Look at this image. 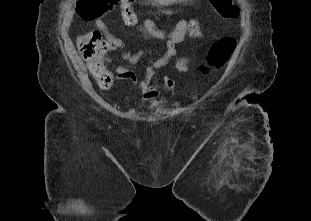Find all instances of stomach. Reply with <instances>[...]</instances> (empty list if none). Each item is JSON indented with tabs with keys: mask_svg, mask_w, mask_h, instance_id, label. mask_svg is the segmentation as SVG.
<instances>
[{
	"mask_svg": "<svg viewBox=\"0 0 311 221\" xmlns=\"http://www.w3.org/2000/svg\"><path fill=\"white\" fill-rule=\"evenodd\" d=\"M157 2H164L165 4V2H168V0H157ZM173 2H177V0H173Z\"/></svg>",
	"mask_w": 311,
	"mask_h": 221,
	"instance_id": "1",
	"label": "stomach"
}]
</instances>
